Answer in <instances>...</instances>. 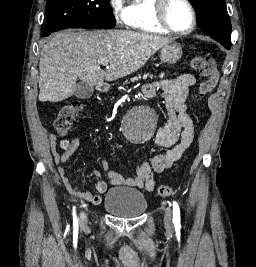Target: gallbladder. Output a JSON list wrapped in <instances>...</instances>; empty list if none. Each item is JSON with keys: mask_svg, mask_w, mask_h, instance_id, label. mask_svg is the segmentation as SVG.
Here are the masks:
<instances>
[{"mask_svg": "<svg viewBox=\"0 0 256 267\" xmlns=\"http://www.w3.org/2000/svg\"><path fill=\"white\" fill-rule=\"evenodd\" d=\"M94 92L93 86H88V84H84V82H79L76 84L75 88V96L76 98H81V100H86V98H90Z\"/></svg>", "mask_w": 256, "mask_h": 267, "instance_id": "1", "label": "gallbladder"}]
</instances>
